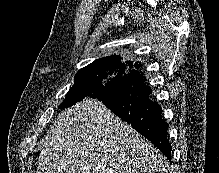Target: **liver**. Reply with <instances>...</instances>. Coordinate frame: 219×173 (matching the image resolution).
<instances>
[{
	"mask_svg": "<svg viewBox=\"0 0 219 173\" xmlns=\"http://www.w3.org/2000/svg\"><path fill=\"white\" fill-rule=\"evenodd\" d=\"M166 167L148 140L100 101L86 98L55 120L36 173H156Z\"/></svg>",
	"mask_w": 219,
	"mask_h": 173,
	"instance_id": "obj_1",
	"label": "liver"
}]
</instances>
